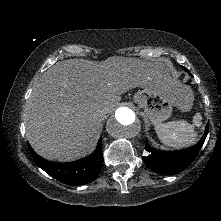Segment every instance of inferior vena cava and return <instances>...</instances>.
I'll use <instances>...</instances> for the list:
<instances>
[{
    "mask_svg": "<svg viewBox=\"0 0 221 221\" xmlns=\"http://www.w3.org/2000/svg\"><path fill=\"white\" fill-rule=\"evenodd\" d=\"M107 112V109L103 107L102 109L98 110L97 115L103 117Z\"/></svg>",
    "mask_w": 221,
    "mask_h": 221,
    "instance_id": "602c4592",
    "label": "inferior vena cava"
}]
</instances>
